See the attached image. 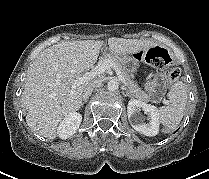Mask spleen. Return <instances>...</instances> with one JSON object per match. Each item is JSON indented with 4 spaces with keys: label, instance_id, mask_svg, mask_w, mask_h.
Returning a JSON list of instances; mask_svg holds the SVG:
<instances>
[{
    "label": "spleen",
    "instance_id": "obj_1",
    "mask_svg": "<svg viewBox=\"0 0 209 179\" xmlns=\"http://www.w3.org/2000/svg\"><path fill=\"white\" fill-rule=\"evenodd\" d=\"M169 103L166 106L159 108V119L165 129H175L181 122L187 99L188 93L185 83L179 81L174 84L168 93Z\"/></svg>",
    "mask_w": 209,
    "mask_h": 179
}]
</instances>
